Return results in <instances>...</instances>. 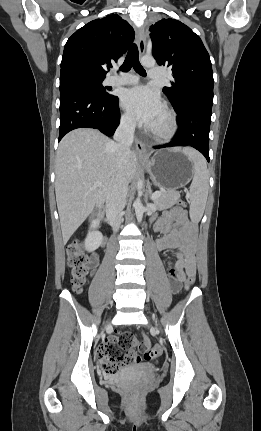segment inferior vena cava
I'll use <instances>...</instances> for the list:
<instances>
[{"label": "inferior vena cava", "instance_id": "obj_1", "mask_svg": "<svg viewBox=\"0 0 261 431\" xmlns=\"http://www.w3.org/2000/svg\"><path fill=\"white\" fill-rule=\"evenodd\" d=\"M136 122L132 117L125 118L114 134L116 162L120 168L125 160L126 155L130 152L133 143ZM128 191L127 180L120 176L112 186V189L106 198V215L114 232H117L123 221V209L126 204Z\"/></svg>", "mask_w": 261, "mask_h": 431}]
</instances>
